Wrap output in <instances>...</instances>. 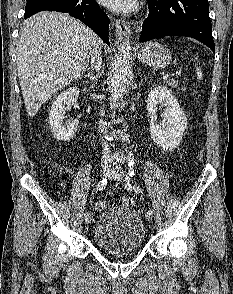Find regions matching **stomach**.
<instances>
[{"mask_svg": "<svg viewBox=\"0 0 233 294\" xmlns=\"http://www.w3.org/2000/svg\"><path fill=\"white\" fill-rule=\"evenodd\" d=\"M138 59L154 68H165L172 61L171 52L165 46L156 43H145L137 53Z\"/></svg>", "mask_w": 233, "mask_h": 294, "instance_id": "1", "label": "stomach"}]
</instances>
